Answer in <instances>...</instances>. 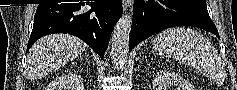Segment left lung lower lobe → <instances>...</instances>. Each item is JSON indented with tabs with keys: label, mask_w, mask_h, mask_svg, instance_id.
Instances as JSON below:
<instances>
[{
	"label": "left lung lower lobe",
	"mask_w": 237,
	"mask_h": 90,
	"mask_svg": "<svg viewBox=\"0 0 237 90\" xmlns=\"http://www.w3.org/2000/svg\"><path fill=\"white\" fill-rule=\"evenodd\" d=\"M175 26L199 27L219 38L204 0H135L129 50L145 38Z\"/></svg>",
	"instance_id": "left-lung-lower-lobe-1"
}]
</instances>
